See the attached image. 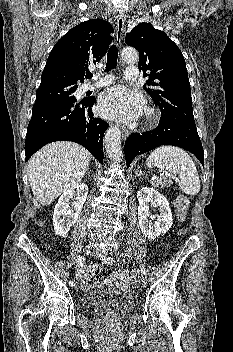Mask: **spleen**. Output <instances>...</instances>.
Instances as JSON below:
<instances>
[{
	"label": "spleen",
	"mask_w": 233,
	"mask_h": 352,
	"mask_svg": "<svg viewBox=\"0 0 233 352\" xmlns=\"http://www.w3.org/2000/svg\"><path fill=\"white\" fill-rule=\"evenodd\" d=\"M147 167L156 166L180 178L179 187L187 195L200 191L197 168L186 151L174 146H161L155 149L146 160Z\"/></svg>",
	"instance_id": "spleen-1"
}]
</instances>
